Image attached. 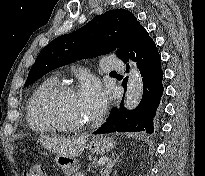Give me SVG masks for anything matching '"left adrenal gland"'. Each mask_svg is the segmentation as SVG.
Here are the masks:
<instances>
[{"label": "left adrenal gland", "instance_id": "obj_1", "mask_svg": "<svg viewBox=\"0 0 205 176\" xmlns=\"http://www.w3.org/2000/svg\"><path fill=\"white\" fill-rule=\"evenodd\" d=\"M121 155V154H120ZM119 159V156H117L115 158V153L112 155V157H110V159L108 160L107 164L105 165L104 168H102L101 171V176H109L110 172L113 168V166L115 165V163L117 162V160Z\"/></svg>", "mask_w": 205, "mask_h": 176}]
</instances>
